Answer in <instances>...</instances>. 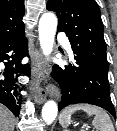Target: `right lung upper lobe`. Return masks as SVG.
Here are the masks:
<instances>
[{"label":"right lung upper lobe","mask_w":117,"mask_h":131,"mask_svg":"<svg viewBox=\"0 0 117 131\" xmlns=\"http://www.w3.org/2000/svg\"><path fill=\"white\" fill-rule=\"evenodd\" d=\"M24 0H0V43L24 32Z\"/></svg>","instance_id":"right-lung-upper-lobe-1"}]
</instances>
